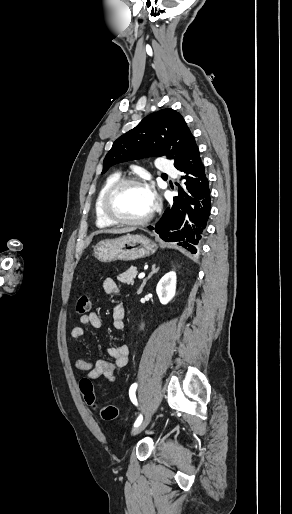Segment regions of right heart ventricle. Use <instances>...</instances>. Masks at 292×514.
Returning a JSON list of instances; mask_svg holds the SVG:
<instances>
[{
  "label": "right heart ventricle",
  "instance_id": "e07e8e85",
  "mask_svg": "<svg viewBox=\"0 0 292 514\" xmlns=\"http://www.w3.org/2000/svg\"><path fill=\"white\" fill-rule=\"evenodd\" d=\"M121 175L120 173L116 172L108 176L104 183L101 185L99 190L96 192L94 197V203H93V210H94V217H95V223L100 228H106L112 225V223L102 214L101 208H100V201L103 192L106 190L107 187H109L113 182L120 179Z\"/></svg>",
  "mask_w": 292,
  "mask_h": 514
}]
</instances>
